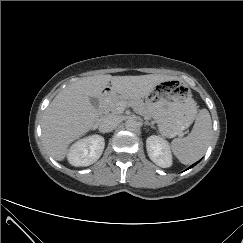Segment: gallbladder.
<instances>
[{
  "mask_svg": "<svg viewBox=\"0 0 243 243\" xmlns=\"http://www.w3.org/2000/svg\"><path fill=\"white\" fill-rule=\"evenodd\" d=\"M90 102L95 108L99 106V100L95 97H91Z\"/></svg>",
  "mask_w": 243,
  "mask_h": 243,
  "instance_id": "bac80fb5",
  "label": "gallbladder"
}]
</instances>
